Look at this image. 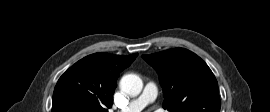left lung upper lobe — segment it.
<instances>
[{
  "mask_svg": "<svg viewBox=\"0 0 270 112\" xmlns=\"http://www.w3.org/2000/svg\"><path fill=\"white\" fill-rule=\"evenodd\" d=\"M158 73L171 112H220L217 80L207 64L184 48L143 55Z\"/></svg>",
  "mask_w": 270,
  "mask_h": 112,
  "instance_id": "1",
  "label": "left lung upper lobe"
}]
</instances>
